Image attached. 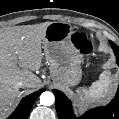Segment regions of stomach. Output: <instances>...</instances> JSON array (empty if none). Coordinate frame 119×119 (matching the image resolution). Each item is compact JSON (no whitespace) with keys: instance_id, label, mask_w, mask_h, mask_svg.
<instances>
[{"instance_id":"0dacf381","label":"stomach","mask_w":119,"mask_h":119,"mask_svg":"<svg viewBox=\"0 0 119 119\" xmlns=\"http://www.w3.org/2000/svg\"><path fill=\"white\" fill-rule=\"evenodd\" d=\"M74 27L69 22L54 21L46 28L42 46L54 81L75 86L82 78V54L72 42Z\"/></svg>"}]
</instances>
